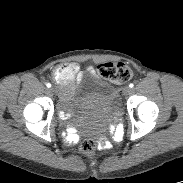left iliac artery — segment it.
I'll return each mask as SVG.
<instances>
[{"instance_id": "1", "label": "left iliac artery", "mask_w": 183, "mask_h": 183, "mask_svg": "<svg viewBox=\"0 0 183 183\" xmlns=\"http://www.w3.org/2000/svg\"><path fill=\"white\" fill-rule=\"evenodd\" d=\"M129 87H130V88H133V87H134V84H133V83H131V84L129 85Z\"/></svg>"}]
</instances>
